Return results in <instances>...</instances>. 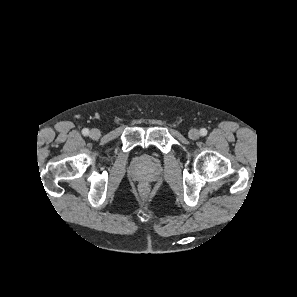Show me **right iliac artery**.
<instances>
[{"label":"right iliac artery","mask_w":297,"mask_h":297,"mask_svg":"<svg viewBox=\"0 0 297 297\" xmlns=\"http://www.w3.org/2000/svg\"><path fill=\"white\" fill-rule=\"evenodd\" d=\"M82 134H83L84 136H87V135L89 134V130H88L87 128H84V129L82 130Z\"/></svg>","instance_id":"right-iliac-artery-1"}]
</instances>
